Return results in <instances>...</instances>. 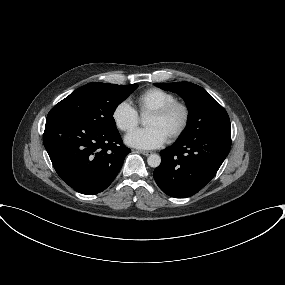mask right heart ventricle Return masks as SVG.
<instances>
[{"mask_svg":"<svg viewBox=\"0 0 285 285\" xmlns=\"http://www.w3.org/2000/svg\"><path fill=\"white\" fill-rule=\"evenodd\" d=\"M174 100H176L175 95L169 91L149 88L135 97V104L137 111L144 115Z\"/></svg>","mask_w":285,"mask_h":285,"instance_id":"right-heart-ventricle-1","label":"right heart ventricle"}]
</instances>
